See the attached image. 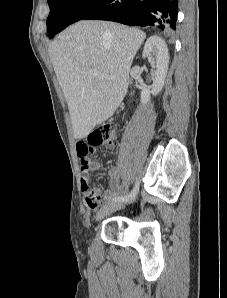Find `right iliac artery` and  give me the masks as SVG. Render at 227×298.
I'll list each match as a JSON object with an SVG mask.
<instances>
[{"label":"right iliac artery","mask_w":227,"mask_h":298,"mask_svg":"<svg viewBox=\"0 0 227 298\" xmlns=\"http://www.w3.org/2000/svg\"><path fill=\"white\" fill-rule=\"evenodd\" d=\"M138 190H139V182L137 181L136 184H135V187L134 189L131 191V193H129L128 195H125V196H115L113 197L111 200L114 201V202H123V201H130V200H133L137 193H138Z\"/></svg>","instance_id":"1"}]
</instances>
